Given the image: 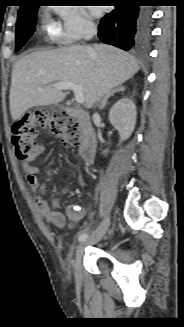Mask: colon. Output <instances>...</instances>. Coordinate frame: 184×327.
<instances>
[{"label": "colon", "mask_w": 184, "mask_h": 327, "mask_svg": "<svg viewBox=\"0 0 184 327\" xmlns=\"http://www.w3.org/2000/svg\"><path fill=\"white\" fill-rule=\"evenodd\" d=\"M38 128H45L66 145L80 146L82 134L79 123L63 109H38L15 122L12 144L18 159L26 161L36 150Z\"/></svg>", "instance_id": "1"}]
</instances>
